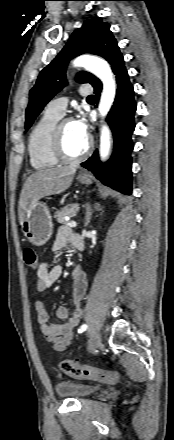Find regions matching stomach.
Listing matches in <instances>:
<instances>
[{
	"label": "stomach",
	"instance_id": "1",
	"mask_svg": "<svg viewBox=\"0 0 174 440\" xmlns=\"http://www.w3.org/2000/svg\"><path fill=\"white\" fill-rule=\"evenodd\" d=\"M77 180L89 185L92 179L89 175H79ZM25 237L35 246L44 245L51 237L53 223L50 211L45 203L37 202L29 213H26L22 225Z\"/></svg>",
	"mask_w": 174,
	"mask_h": 440
}]
</instances>
